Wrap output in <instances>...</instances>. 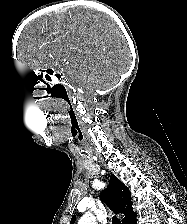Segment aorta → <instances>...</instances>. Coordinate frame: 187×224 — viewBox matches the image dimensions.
Listing matches in <instances>:
<instances>
[{
    "label": "aorta",
    "instance_id": "obj_1",
    "mask_svg": "<svg viewBox=\"0 0 187 224\" xmlns=\"http://www.w3.org/2000/svg\"><path fill=\"white\" fill-rule=\"evenodd\" d=\"M78 224H97L95 216L90 213L86 212L79 220Z\"/></svg>",
    "mask_w": 187,
    "mask_h": 224
}]
</instances>
